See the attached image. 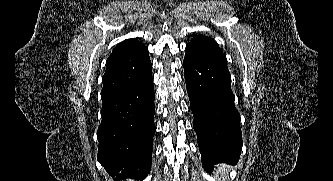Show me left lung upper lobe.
I'll return each mask as SVG.
<instances>
[{"mask_svg": "<svg viewBox=\"0 0 333 181\" xmlns=\"http://www.w3.org/2000/svg\"><path fill=\"white\" fill-rule=\"evenodd\" d=\"M187 46L227 65V59L219 48V45L210 37L197 35L187 44Z\"/></svg>", "mask_w": 333, "mask_h": 181, "instance_id": "obj_1", "label": "left lung upper lobe"}]
</instances>
